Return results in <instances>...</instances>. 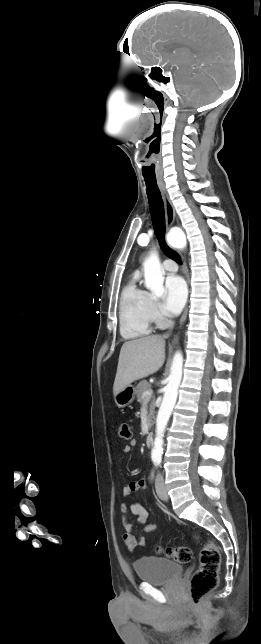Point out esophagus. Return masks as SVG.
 Listing matches in <instances>:
<instances>
[{"mask_svg":"<svg viewBox=\"0 0 261 644\" xmlns=\"http://www.w3.org/2000/svg\"><path fill=\"white\" fill-rule=\"evenodd\" d=\"M158 185H159V188H160V191H161V194H162V199H163V202H164L166 225H167V228H169V227H171L173 225V223L177 219L176 211H175V208H174V206H173V204H172V202H171V200H170V198H169V196H168V194L166 192L164 183L163 182H158ZM184 273H185L187 283H189L190 276H189V270H188V267L186 265V262H184ZM188 308H189V306L187 304L185 309H184V312H183V314L181 316V319H180L181 324H183L186 321L187 314H188ZM177 341H178V336H175V338L173 340V343H176Z\"/></svg>","mask_w":261,"mask_h":644,"instance_id":"34e87169","label":"esophagus"}]
</instances>
